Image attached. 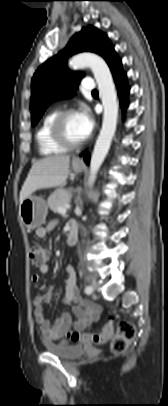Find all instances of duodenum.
<instances>
[{"label":"duodenum","instance_id":"410a0bca","mask_svg":"<svg viewBox=\"0 0 168 406\" xmlns=\"http://www.w3.org/2000/svg\"><path fill=\"white\" fill-rule=\"evenodd\" d=\"M78 237V225L75 222H71L66 235V243L70 246L75 245L78 241Z\"/></svg>","mask_w":168,"mask_h":406}]
</instances>
